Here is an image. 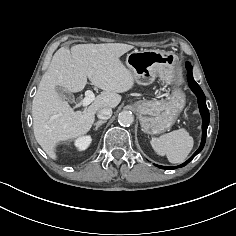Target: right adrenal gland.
Segmentation results:
<instances>
[{"instance_id":"1","label":"right adrenal gland","mask_w":236,"mask_h":236,"mask_svg":"<svg viewBox=\"0 0 236 236\" xmlns=\"http://www.w3.org/2000/svg\"><path fill=\"white\" fill-rule=\"evenodd\" d=\"M106 122H107V120H100V121H97V122L94 124V126H95L94 130L97 131L98 128H99L102 124H104V123H106Z\"/></svg>"}]
</instances>
